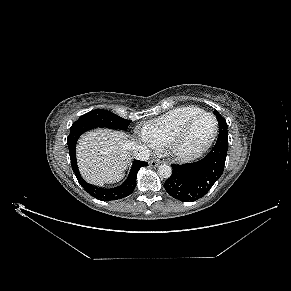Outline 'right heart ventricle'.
Returning <instances> with one entry per match:
<instances>
[{
    "instance_id": "obj_1",
    "label": "right heart ventricle",
    "mask_w": 291,
    "mask_h": 291,
    "mask_svg": "<svg viewBox=\"0 0 291 291\" xmlns=\"http://www.w3.org/2000/svg\"><path fill=\"white\" fill-rule=\"evenodd\" d=\"M204 110L195 106L173 109L142 128V137L154 148L167 146L170 139L194 116Z\"/></svg>"
}]
</instances>
